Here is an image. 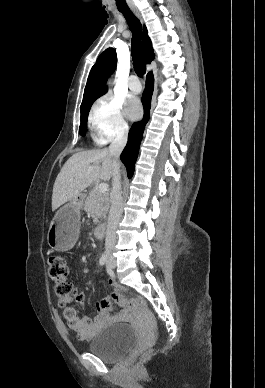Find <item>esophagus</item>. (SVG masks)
Returning a JSON list of instances; mask_svg holds the SVG:
<instances>
[{"label":"esophagus","mask_w":265,"mask_h":388,"mask_svg":"<svg viewBox=\"0 0 265 388\" xmlns=\"http://www.w3.org/2000/svg\"><path fill=\"white\" fill-rule=\"evenodd\" d=\"M132 12L136 15V17L139 18L140 21H142V17L140 15V12L137 9H132Z\"/></svg>","instance_id":"34e87169"}]
</instances>
